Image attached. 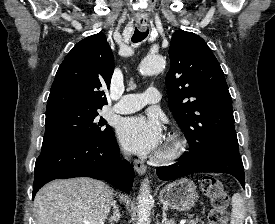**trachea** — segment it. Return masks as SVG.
I'll return each instance as SVG.
<instances>
[{
	"label": "trachea",
	"instance_id": "obj_1",
	"mask_svg": "<svg viewBox=\"0 0 275 224\" xmlns=\"http://www.w3.org/2000/svg\"><path fill=\"white\" fill-rule=\"evenodd\" d=\"M147 35H148V30L145 32H141L136 28L134 31V34L132 36V42H134V43L141 42L142 40H144L147 37Z\"/></svg>",
	"mask_w": 275,
	"mask_h": 224
}]
</instances>
